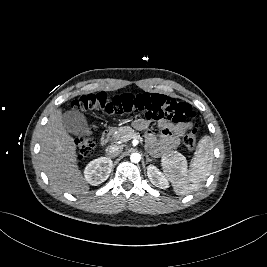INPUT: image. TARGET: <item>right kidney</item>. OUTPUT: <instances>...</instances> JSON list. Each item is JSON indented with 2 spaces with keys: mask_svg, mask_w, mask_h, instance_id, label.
<instances>
[{
  "mask_svg": "<svg viewBox=\"0 0 267 267\" xmlns=\"http://www.w3.org/2000/svg\"><path fill=\"white\" fill-rule=\"evenodd\" d=\"M112 167V160L108 157L94 159L85 167V180L91 185H99L108 179Z\"/></svg>",
  "mask_w": 267,
  "mask_h": 267,
  "instance_id": "1",
  "label": "right kidney"
}]
</instances>
